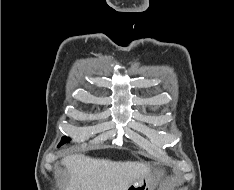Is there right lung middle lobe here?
Returning a JSON list of instances; mask_svg holds the SVG:
<instances>
[{
	"mask_svg": "<svg viewBox=\"0 0 234 190\" xmlns=\"http://www.w3.org/2000/svg\"><path fill=\"white\" fill-rule=\"evenodd\" d=\"M69 141H70V138H69V137H66V136L62 137L61 142H60V144L58 145V147H60L61 145H63V144L66 143V142H69Z\"/></svg>",
	"mask_w": 234,
	"mask_h": 190,
	"instance_id": "right-lung-middle-lobe-1",
	"label": "right lung middle lobe"
}]
</instances>
